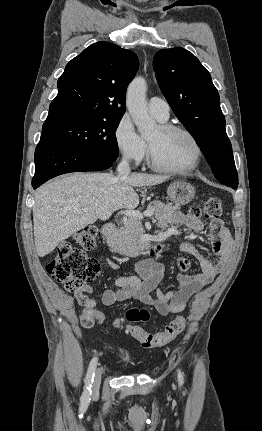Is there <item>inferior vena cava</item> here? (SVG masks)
<instances>
[{
    "mask_svg": "<svg viewBox=\"0 0 262 431\" xmlns=\"http://www.w3.org/2000/svg\"><path fill=\"white\" fill-rule=\"evenodd\" d=\"M131 168L129 162L126 158H123L117 167L118 177L128 176L130 174Z\"/></svg>",
    "mask_w": 262,
    "mask_h": 431,
    "instance_id": "inferior-vena-cava-1",
    "label": "inferior vena cava"
}]
</instances>
